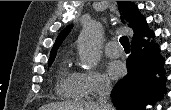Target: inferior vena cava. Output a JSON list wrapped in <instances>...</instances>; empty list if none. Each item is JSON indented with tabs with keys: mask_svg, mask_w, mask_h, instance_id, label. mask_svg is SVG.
Returning <instances> with one entry per match:
<instances>
[{
	"mask_svg": "<svg viewBox=\"0 0 171 110\" xmlns=\"http://www.w3.org/2000/svg\"><path fill=\"white\" fill-rule=\"evenodd\" d=\"M111 92V86L107 82H102L99 86V108L101 110H110L111 105L108 102Z\"/></svg>",
	"mask_w": 171,
	"mask_h": 110,
	"instance_id": "inferior-vena-cava-1",
	"label": "inferior vena cava"
}]
</instances>
